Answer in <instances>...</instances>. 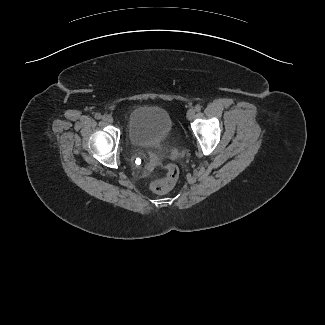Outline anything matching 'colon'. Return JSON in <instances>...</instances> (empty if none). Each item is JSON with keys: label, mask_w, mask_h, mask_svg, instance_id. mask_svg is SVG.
<instances>
[{"label": "colon", "mask_w": 325, "mask_h": 325, "mask_svg": "<svg viewBox=\"0 0 325 325\" xmlns=\"http://www.w3.org/2000/svg\"><path fill=\"white\" fill-rule=\"evenodd\" d=\"M165 176L162 179L153 180L149 184L152 192L164 194L174 188L179 177V170L173 164H167L163 167Z\"/></svg>", "instance_id": "obj_1"}]
</instances>
